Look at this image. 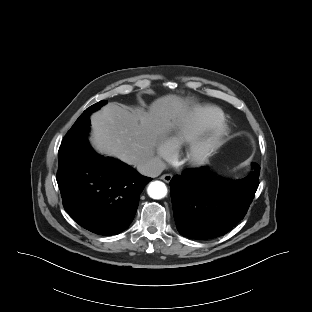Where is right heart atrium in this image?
<instances>
[{
  "label": "right heart atrium",
  "instance_id": "1",
  "mask_svg": "<svg viewBox=\"0 0 312 312\" xmlns=\"http://www.w3.org/2000/svg\"><path fill=\"white\" fill-rule=\"evenodd\" d=\"M156 150L161 160H168L173 153L171 144L166 140H160L156 145Z\"/></svg>",
  "mask_w": 312,
  "mask_h": 312
}]
</instances>
